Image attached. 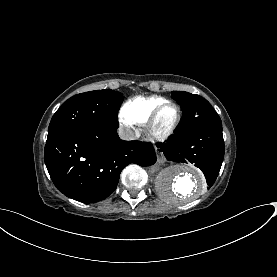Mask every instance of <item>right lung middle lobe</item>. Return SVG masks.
I'll list each match as a JSON object with an SVG mask.
<instances>
[{
  "label": "right lung middle lobe",
  "instance_id": "right-lung-middle-lobe-1",
  "mask_svg": "<svg viewBox=\"0 0 277 277\" xmlns=\"http://www.w3.org/2000/svg\"><path fill=\"white\" fill-rule=\"evenodd\" d=\"M123 95L110 89L77 94L69 98L53 115L48 137L91 126H118L117 113Z\"/></svg>",
  "mask_w": 277,
  "mask_h": 277
}]
</instances>
